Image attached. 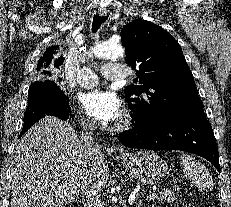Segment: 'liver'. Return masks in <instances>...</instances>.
Segmentation results:
<instances>
[{
    "mask_svg": "<svg viewBox=\"0 0 231 207\" xmlns=\"http://www.w3.org/2000/svg\"><path fill=\"white\" fill-rule=\"evenodd\" d=\"M88 165L70 123L45 116L24 134L11 158V207H62L74 202ZM96 169L95 182L102 191L109 168L101 151Z\"/></svg>",
    "mask_w": 231,
    "mask_h": 207,
    "instance_id": "obj_1",
    "label": "liver"
}]
</instances>
